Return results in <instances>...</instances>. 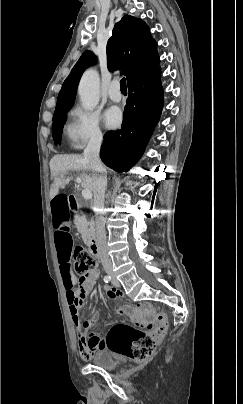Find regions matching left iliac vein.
Returning <instances> with one entry per match:
<instances>
[{
    "label": "left iliac vein",
    "instance_id": "4c4485c4",
    "mask_svg": "<svg viewBox=\"0 0 243 404\" xmlns=\"http://www.w3.org/2000/svg\"><path fill=\"white\" fill-rule=\"evenodd\" d=\"M112 284L115 286V287H120V283H119V281L116 279V277L112 274Z\"/></svg>",
    "mask_w": 243,
    "mask_h": 404
}]
</instances>
